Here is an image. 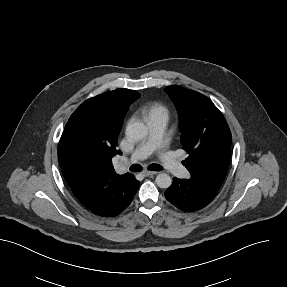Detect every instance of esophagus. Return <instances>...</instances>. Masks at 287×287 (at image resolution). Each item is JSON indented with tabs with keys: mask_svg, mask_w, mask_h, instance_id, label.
Wrapping results in <instances>:
<instances>
[{
	"mask_svg": "<svg viewBox=\"0 0 287 287\" xmlns=\"http://www.w3.org/2000/svg\"><path fill=\"white\" fill-rule=\"evenodd\" d=\"M158 172L157 171H143V175L145 176H150V175H155L157 174Z\"/></svg>",
	"mask_w": 287,
	"mask_h": 287,
	"instance_id": "esophagus-1",
	"label": "esophagus"
}]
</instances>
